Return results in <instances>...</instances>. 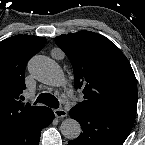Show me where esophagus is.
<instances>
[{
	"label": "esophagus",
	"instance_id": "esophagus-1",
	"mask_svg": "<svg viewBox=\"0 0 145 145\" xmlns=\"http://www.w3.org/2000/svg\"><path fill=\"white\" fill-rule=\"evenodd\" d=\"M54 115L57 118H63V117H66L67 116V111L64 110V109H55L54 110Z\"/></svg>",
	"mask_w": 145,
	"mask_h": 145
}]
</instances>
